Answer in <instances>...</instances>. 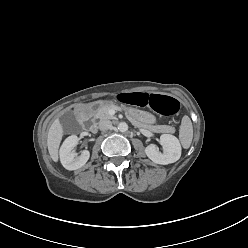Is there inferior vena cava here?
I'll list each match as a JSON object with an SVG mask.
<instances>
[{"label":"inferior vena cava","instance_id":"inferior-vena-cava-1","mask_svg":"<svg viewBox=\"0 0 248 248\" xmlns=\"http://www.w3.org/2000/svg\"><path fill=\"white\" fill-rule=\"evenodd\" d=\"M112 127V123L109 120H101L99 122V129L104 131V130H108Z\"/></svg>","mask_w":248,"mask_h":248}]
</instances>
